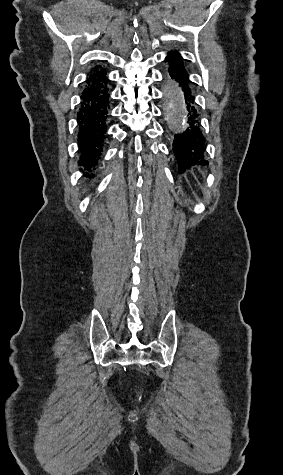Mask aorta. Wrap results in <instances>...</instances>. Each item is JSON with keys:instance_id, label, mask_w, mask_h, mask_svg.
<instances>
[{"instance_id": "obj_1", "label": "aorta", "mask_w": 283, "mask_h": 475, "mask_svg": "<svg viewBox=\"0 0 283 475\" xmlns=\"http://www.w3.org/2000/svg\"><path fill=\"white\" fill-rule=\"evenodd\" d=\"M169 101L167 103V120L176 128L182 130L186 127V110L182 99L181 90L174 83H167Z\"/></svg>"}]
</instances>
